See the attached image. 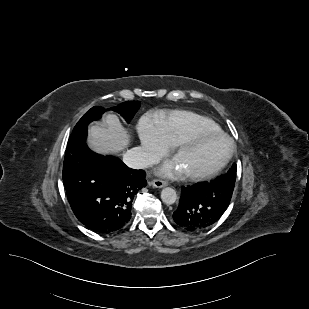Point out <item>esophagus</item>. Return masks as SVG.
Here are the masks:
<instances>
[{"mask_svg":"<svg viewBox=\"0 0 309 309\" xmlns=\"http://www.w3.org/2000/svg\"><path fill=\"white\" fill-rule=\"evenodd\" d=\"M151 185L155 188H163V187L167 186V182L162 180V179H154L151 182Z\"/></svg>","mask_w":309,"mask_h":309,"instance_id":"esophagus-1","label":"esophagus"}]
</instances>
